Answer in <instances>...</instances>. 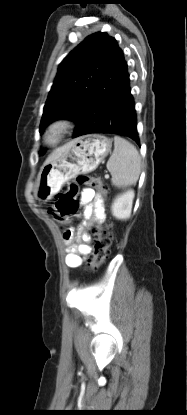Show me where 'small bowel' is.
Segmentation results:
<instances>
[{
	"instance_id": "small-bowel-1",
	"label": "small bowel",
	"mask_w": 187,
	"mask_h": 415,
	"mask_svg": "<svg viewBox=\"0 0 187 415\" xmlns=\"http://www.w3.org/2000/svg\"><path fill=\"white\" fill-rule=\"evenodd\" d=\"M80 202L84 205L82 216L87 221L101 224L105 220L104 198L92 189L85 188L80 193ZM88 235L81 229L77 234L72 229L63 233L67 255L65 264L70 268L81 266L83 259L90 255L91 247L88 244Z\"/></svg>"
}]
</instances>
